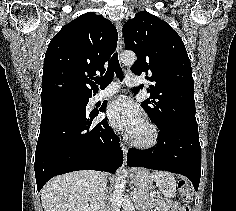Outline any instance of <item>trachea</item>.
I'll return each instance as SVG.
<instances>
[{
  "instance_id": "3493384b",
  "label": "trachea",
  "mask_w": 236,
  "mask_h": 211,
  "mask_svg": "<svg viewBox=\"0 0 236 211\" xmlns=\"http://www.w3.org/2000/svg\"><path fill=\"white\" fill-rule=\"evenodd\" d=\"M114 73L116 74L117 78L123 79L122 69L119 64L117 53H114L110 58L105 75L95 79V82L100 85L101 89H104L107 84L112 81Z\"/></svg>"
}]
</instances>
